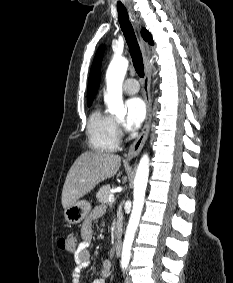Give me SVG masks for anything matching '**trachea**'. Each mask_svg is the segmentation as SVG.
<instances>
[{
  "mask_svg": "<svg viewBox=\"0 0 233 283\" xmlns=\"http://www.w3.org/2000/svg\"><path fill=\"white\" fill-rule=\"evenodd\" d=\"M117 10L119 23L128 44L134 68L140 77H144V65L140 47L138 45L134 29L129 21L127 10L124 6H117Z\"/></svg>",
  "mask_w": 233,
  "mask_h": 283,
  "instance_id": "3493384b",
  "label": "trachea"
}]
</instances>
